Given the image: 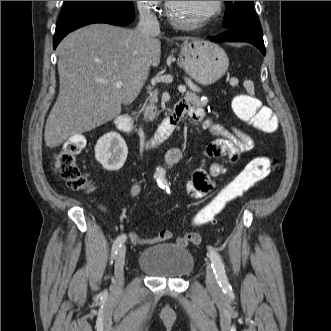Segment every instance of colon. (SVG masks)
Listing matches in <instances>:
<instances>
[{"mask_svg":"<svg viewBox=\"0 0 331 331\" xmlns=\"http://www.w3.org/2000/svg\"><path fill=\"white\" fill-rule=\"evenodd\" d=\"M236 116L250 127L264 133H272L278 128V120L274 112L251 94L237 95L232 102ZM85 147L82 136H73L67 140L54 157V171L74 191L91 190L86 175L81 171L77 157ZM271 171V160L260 156L254 158L239 172L219 193L195 215V225L213 223L226 206L242 198L257 183L265 179ZM182 240L198 245L201 237L197 233H189Z\"/></svg>","mask_w":331,"mask_h":331,"instance_id":"1","label":"colon"}]
</instances>
